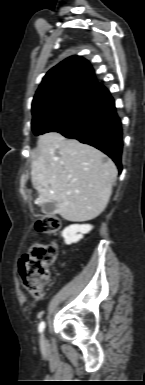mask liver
<instances>
[{
  "label": "liver",
  "instance_id": "liver-1",
  "mask_svg": "<svg viewBox=\"0 0 145 385\" xmlns=\"http://www.w3.org/2000/svg\"><path fill=\"white\" fill-rule=\"evenodd\" d=\"M31 158V181L39 193L36 204L53 202L56 213L73 222L92 220L104 211L117 168L101 151L47 132L39 137Z\"/></svg>",
  "mask_w": 145,
  "mask_h": 385
}]
</instances>
